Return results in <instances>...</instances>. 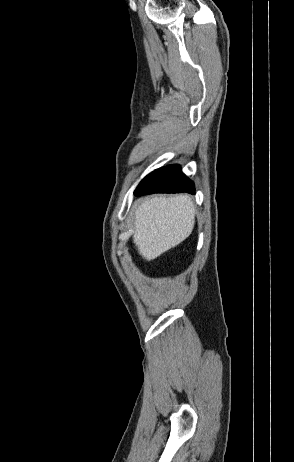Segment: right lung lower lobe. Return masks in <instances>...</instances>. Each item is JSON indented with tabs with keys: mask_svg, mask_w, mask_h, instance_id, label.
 Returning <instances> with one entry per match:
<instances>
[{
	"mask_svg": "<svg viewBox=\"0 0 294 462\" xmlns=\"http://www.w3.org/2000/svg\"><path fill=\"white\" fill-rule=\"evenodd\" d=\"M195 193L194 184L182 173L180 166L171 165L155 170L146 176L134 194L136 196L152 193Z\"/></svg>",
	"mask_w": 294,
	"mask_h": 462,
	"instance_id": "1",
	"label": "right lung lower lobe"
}]
</instances>
